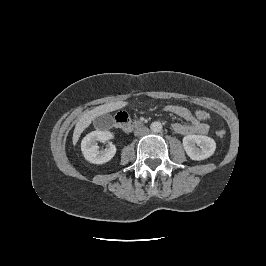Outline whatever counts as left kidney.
I'll list each match as a JSON object with an SVG mask.
<instances>
[{
    "label": "left kidney",
    "instance_id": "5707ae66",
    "mask_svg": "<svg viewBox=\"0 0 266 266\" xmlns=\"http://www.w3.org/2000/svg\"><path fill=\"white\" fill-rule=\"evenodd\" d=\"M196 144L200 148L196 147ZM183 147L192 160H204L212 156L216 149L214 139L202 135H187L183 138Z\"/></svg>",
    "mask_w": 266,
    "mask_h": 266
}]
</instances>
